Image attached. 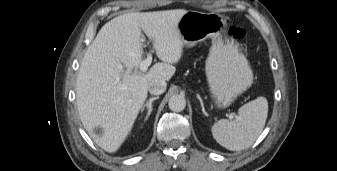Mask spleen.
I'll list each match as a JSON object with an SVG mask.
<instances>
[{
  "instance_id": "1",
  "label": "spleen",
  "mask_w": 337,
  "mask_h": 171,
  "mask_svg": "<svg viewBox=\"0 0 337 171\" xmlns=\"http://www.w3.org/2000/svg\"><path fill=\"white\" fill-rule=\"evenodd\" d=\"M268 115V102L258 97L238 110L235 120L221 119L212 126L214 139L230 151H240L254 144L263 131Z\"/></svg>"
}]
</instances>
